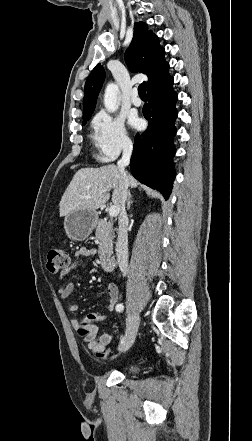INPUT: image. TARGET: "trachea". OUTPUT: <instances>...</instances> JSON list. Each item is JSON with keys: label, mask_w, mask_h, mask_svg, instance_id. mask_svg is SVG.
Returning a JSON list of instances; mask_svg holds the SVG:
<instances>
[{"label": "trachea", "mask_w": 252, "mask_h": 441, "mask_svg": "<svg viewBox=\"0 0 252 441\" xmlns=\"http://www.w3.org/2000/svg\"><path fill=\"white\" fill-rule=\"evenodd\" d=\"M138 93H139V96L146 97V87H145L144 83H142L138 86Z\"/></svg>", "instance_id": "trachea-1"}]
</instances>
